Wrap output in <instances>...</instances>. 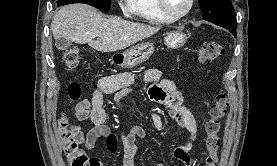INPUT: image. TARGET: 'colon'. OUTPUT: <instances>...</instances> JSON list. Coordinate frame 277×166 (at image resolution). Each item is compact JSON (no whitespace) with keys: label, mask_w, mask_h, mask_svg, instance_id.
Here are the masks:
<instances>
[{"label":"colon","mask_w":277,"mask_h":166,"mask_svg":"<svg viewBox=\"0 0 277 166\" xmlns=\"http://www.w3.org/2000/svg\"><path fill=\"white\" fill-rule=\"evenodd\" d=\"M224 46L216 41H209L202 44L198 49V58L202 63L212 62L223 55ZM80 60V54L77 48H70L64 53L66 66L73 70ZM67 93L69 100L74 102L81 96V87L77 82H71L68 85ZM228 108V99L224 91H218L210 105L208 117L204 121L205 131V149L206 157L204 166L218 165V150L220 139L218 132L220 121L226 114ZM58 129L61 134L62 147L66 155L69 166H94L95 162L89 159L79 147L81 132L70 119L63 115L58 122Z\"/></svg>","instance_id":"1"}]
</instances>
